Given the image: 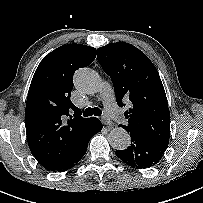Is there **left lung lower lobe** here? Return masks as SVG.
Listing matches in <instances>:
<instances>
[{"mask_svg":"<svg viewBox=\"0 0 203 203\" xmlns=\"http://www.w3.org/2000/svg\"><path fill=\"white\" fill-rule=\"evenodd\" d=\"M131 145L125 150H116V155L127 165L145 169L157 164L168 146L135 132H130Z\"/></svg>","mask_w":203,"mask_h":203,"instance_id":"1","label":"left lung lower lobe"}]
</instances>
